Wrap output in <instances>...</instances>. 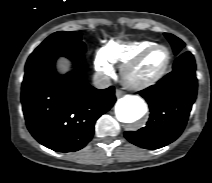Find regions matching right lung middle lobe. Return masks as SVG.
<instances>
[{
	"label": "right lung middle lobe",
	"instance_id": "1",
	"mask_svg": "<svg viewBox=\"0 0 212 183\" xmlns=\"http://www.w3.org/2000/svg\"><path fill=\"white\" fill-rule=\"evenodd\" d=\"M85 51V44L81 41L80 33L58 31L46 38L30 56L45 53L83 55Z\"/></svg>",
	"mask_w": 212,
	"mask_h": 183
}]
</instances>
